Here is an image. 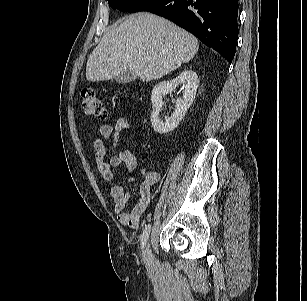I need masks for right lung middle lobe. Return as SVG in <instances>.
Returning a JSON list of instances; mask_svg holds the SVG:
<instances>
[{"mask_svg":"<svg viewBox=\"0 0 307 301\" xmlns=\"http://www.w3.org/2000/svg\"><path fill=\"white\" fill-rule=\"evenodd\" d=\"M154 1L155 0H108V3L113 9L134 13L141 11Z\"/></svg>","mask_w":307,"mask_h":301,"instance_id":"right-lung-middle-lobe-1","label":"right lung middle lobe"}]
</instances>
